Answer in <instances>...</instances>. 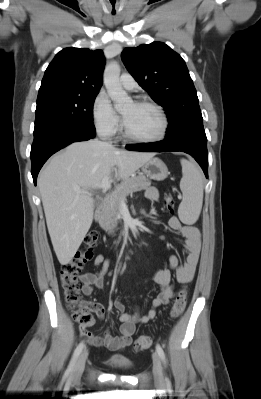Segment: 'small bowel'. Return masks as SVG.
I'll use <instances>...</instances> for the list:
<instances>
[{"label":"small bowel","instance_id":"obj_1","mask_svg":"<svg viewBox=\"0 0 261 399\" xmlns=\"http://www.w3.org/2000/svg\"><path fill=\"white\" fill-rule=\"evenodd\" d=\"M145 197L148 200L156 201L158 199V192L154 187H148L145 190ZM169 226L185 238V248L187 250L185 261L180 264L177 256L172 255L169 258L170 269H161L154 274L153 280L161 287V290L158 296L153 300L152 306L146 314L141 315L138 307L135 308L134 313H127L125 312V305L120 299L114 301V309L120 314L119 320L121 325L119 336L112 335L109 332H105L103 335L99 336L90 333L86 329H82V336L86 337L91 345L104 346L111 351H121L125 349L132 342L136 324L147 323L154 319L156 308L167 304L173 297L174 288L171 284L172 275H174L176 280L183 286L192 281L201 253L200 231L193 225L182 224L176 216H172L169 219ZM93 263L97 270L95 272H84L80 276L84 295H91L95 288H101L103 286L104 276L110 266V260L103 254L96 255ZM89 304L99 318L104 317L105 309L100 304Z\"/></svg>","mask_w":261,"mask_h":399}]
</instances>
